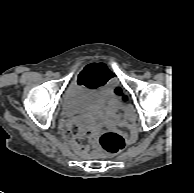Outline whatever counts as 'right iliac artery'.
<instances>
[{
    "mask_svg": "<svg viewBox=\"0 0 194 193\" xmlns=\"http://www.w3.org/2000/svg\"><path fill=\"white\" fill-rule=\"evenodd\" d=\"M46 75H47V76H52L53 73H52L51 71H47V72H46Z\"/></svg>",
    "mask_w": 194,
    "mask_h": 193,
    "instance_id": "right-iliac-artery-1",
    "label": "right iliac artery"
}]
</instances>
